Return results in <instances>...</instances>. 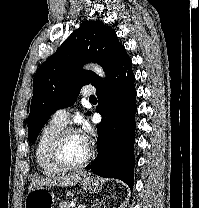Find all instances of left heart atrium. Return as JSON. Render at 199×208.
Here are the masks:
<instances>
[{
	"instance_id": "39dd6f15",
	"label": "left heart atrium",
	"mask_w": 199,
	"mask_h": 208,
	"mask_svg": "<svg viewBox=\"0 0 199 208\" xmlns=\"http://www.w3.org/2000/svg\"><path fill=\"white\" fill-rule=\"evenodd\" d=\"M80 136L83 139V141L88 144L91 136V128L88 123L83 122L82 124V130L80 131Z\"/></svg>"
}]
</instances>
